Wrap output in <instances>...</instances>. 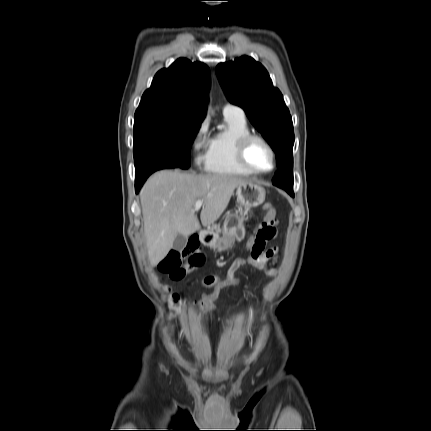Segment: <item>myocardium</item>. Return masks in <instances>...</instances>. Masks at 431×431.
Returning a JSON list of instances; mask_svg holds the SVG:
<instances>
[{
    "label": "myocardium",
    "instance_id": "myocardium-1",
    "mask_svg": "<svg viewBox=\"0 0 431 431\" xmlns=\"http://www.w3.org/2000/svg\"><path fill=\"white\" fill-rule=\"evenodd\" d=\"M255 140L262 142L267 147V149L269 150V152L271 154L272 166L268 170H259L255 167H253L247 160V156H246L247 148H248L249 144ZM236 157H237L239 164L243 168H245L246 170H248L249 172H251L253 174L263 175V174L271 173L272 171H274V169L276 168V164H277L276 152H275L273 146L271 145V143L266 138H264L263 136L258 135V134H251L250 133V134H247V135H245L239 139V141L237 142V146H236Z\"/></svg>",
    "mask_w": 431,
    "mask_h": 431
}]
</instances>
